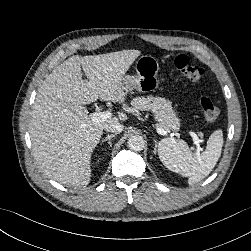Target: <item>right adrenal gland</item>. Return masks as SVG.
<instances>
[{"label": "right adrenal gland", "instance_id": "right-adrenal-gland-1", "mask_svg": "<svg viewBox=\"0 0 251 251\" xmlns=\"http://www.w3.org/2000/svg\"><path fill=\"white\" fill-rule=\"evenodd\" d=\"M116 135H117L116 133H115V134L108 135L105 139H102L101 144H103L104 142L108 141V144H109V146L111 147V146H112L111 139H112L113 137H115Z\"/></svg>", "mask_w": 251, "mask_h": 251}]
</instances>
